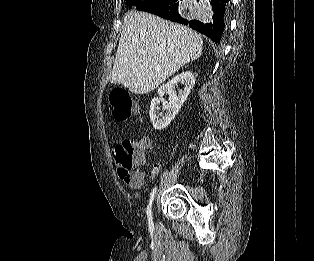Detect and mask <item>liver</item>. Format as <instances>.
<instances>
[{
  "label": "liver",
  "mask_w": 314,
  "mask_h": 261,
  "mask_svg": "<svg viewBox=\"0 0 314 261\" xmlns=\"http://www.w3.org/2000/svg\"><path fill=\"white\" fill-rule=\"evenodd\" d=\"M201 36L158 16L131 10L123 18L110 80L135 94H148L185 64L198 59ZM160 67L156 70L155 67Z\"/></svg>",
  "instance_id": "liver-1"
}]
</instances>
